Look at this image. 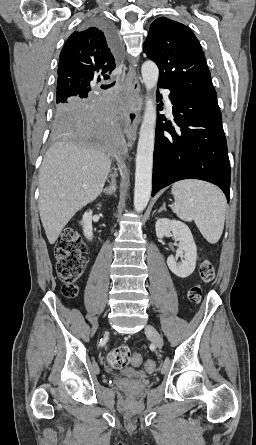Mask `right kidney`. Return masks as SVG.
Returning <instances> with one entry per match:
<instances>
[{
  "instance_id": "right-kidney-1",
  "label": "right kidney",
  "mask_w": 256,
  "mask_h": 445,
  "mask_svg": "<svg viewBox=\"0 0 256 445\" xmlns=\"http://www.w3.org/2000/svg\"><path fill=\"white\" fill-rule=\"evenodd\" d=\"M83 232L88 240L93 238V228H92V211L85 212L82 217Z\"/></svg>"
}]
</instances>
